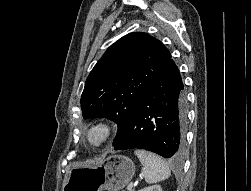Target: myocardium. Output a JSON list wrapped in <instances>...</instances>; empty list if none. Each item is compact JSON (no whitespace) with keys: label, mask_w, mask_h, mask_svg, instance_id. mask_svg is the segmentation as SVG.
Here are the masks:
<instances>
[{"label":"myocardium","mask_w":251,"mask_h":191,"mask_svg":"<svg viewBox=\"0 0 251 191\" xmlns=\"http://www.w3.org/2000/svg\"><path fill=\"white\" fill-rule=\"evenodd\" d=\"M94 130L100 131L103 136V141L99 146H92L88 144L84 139V136L87 133ZM114 134H115V129L111 120L105 117H99L90 121L88 124L84 126V128L81 131V141L86 149L95 153H102L110 146L114 138Z\"/></svg>","instance_id":"myocardium-1"}]
</instances>
